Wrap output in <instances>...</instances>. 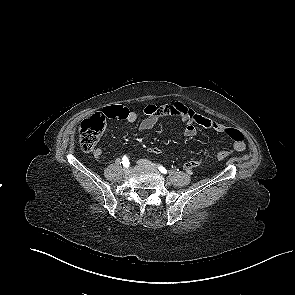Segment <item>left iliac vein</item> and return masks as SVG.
Listing matches in <instances>:
<instances>
[{
  "mask_svg": "<svg viewBox=\"0 0 295 295\" xmlns=\"http://www.w3.org/2000/svg\"><path fill=\"white\" fill-rule=\"evenodd\" d=\"M137 164H138L139 166L150 167V168H152V169H154V170L157 169V166H156L154 163H152V162H150V161H148V160H146V159H140V160H138V161H137Z\"/></svg>",
  "mask_w": 295,
  "mask_h": 295,
  "instance_id": "1",
  "label": "left iliac vein"
}]
</instances>
